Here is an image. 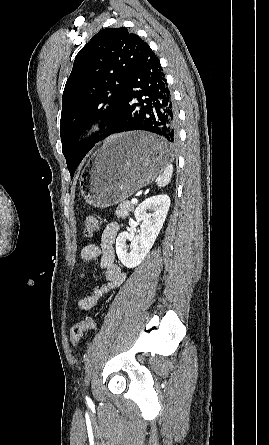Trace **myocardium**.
<instances>
[{
    "label": "myocardium",
    "instance_id": "myocardium-1",
    "mask_svg": "<svg viewBox=\"0 0 269 445\" xmlns=\"http://www.w3.org/2000/svg\"><path fill=\"white\" fill-rule=\"evenodd\" d=\"M101 128L102 124L100 121L98 120L90 121L81 128L78 134V139L83 142L87 141L95 137L101 131Z\"/></svg>",
    "mask_w": 269,
    "mask_h": 445
}]
</instances>
